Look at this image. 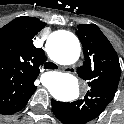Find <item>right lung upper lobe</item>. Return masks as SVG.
Returning <instances> with one entry per match:
<instances>
[{"mask_svg":"<svg viewBox=\"0 0 124 124\" xmlns=\"http://www.w3.org/2000/svg\"><path fill=\"white\" fill-rule=\"evenodd\" d=\"M45 23L21 16L0 28V113L18 111L36 90L34 81L44 64V51L33 38Z\"/></svg>","mask_w":124,"mask_h":124,"instance_id":"right-lung-upper-lobe-1","label":"right lung upper lobe"}]
</instances>
